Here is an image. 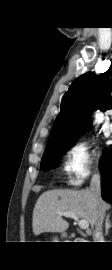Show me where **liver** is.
<instances>
[{"label":"liver","mask_w":112,"mask_h":270,"mask_svg":"<svg viewBox=\"0 0 112 270\" xmlns=\"http://www.w3.org/2000/svg\"><path fill=\"white\" fill-rule=\"evenodd\" d=\"M110 209L103 200L96 202L90 190H48L42 193L36 201L32 215V230L34 235L43 232H64L69 223L63 219L62 213L71 211L81 219H86L91 228L96 225L98 210Z\"/></svg>","instance_id":"6515ba94"}]
</instances>
